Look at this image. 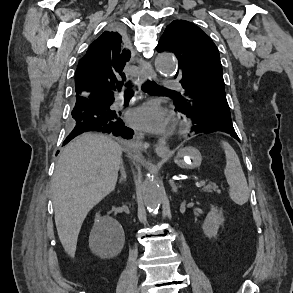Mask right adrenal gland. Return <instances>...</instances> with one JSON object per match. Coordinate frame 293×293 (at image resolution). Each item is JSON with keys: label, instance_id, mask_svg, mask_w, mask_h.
<instances>
[{"label": "right adrenal gland", "instance_id": "obj_1", "mask_svg": "<svg viewBox=\"0 0 293 293\" xmlns=\"http://www.w3.org/2000/svg\"><path fill=\"white\" fill-rule=\"evenodd\" d=\"M120 172H121V177L119 178V183H122L126 181V178H127L123 162H121V165H120Z\"/></svg>", "mask_w": 293, "mask_h": 293}]
</instances>
